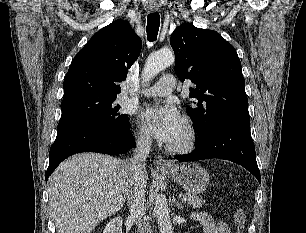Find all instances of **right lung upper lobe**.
I'll list each match as a JSON object with an SVG mask.
<instances>
[{
	"label": "right lung upper lobe",
	"instance_id": "obj_1",
	"mask_svg": "<svg viewBox=\"0 0 306 233\" xmlns=\"http://www.w3.org/2000/svg\"><path fill=\"white\" fill-rule=\"evenodd\" d=\"M141 48V39L127 21L116 20L99 30L72 61L64 79L63 102L116 98L119 82L126 79Z\"/></svg>",
	"mask_w": 306,
	"mask_h": 233
}]
</instances>
